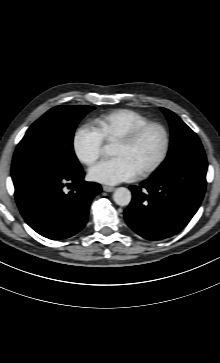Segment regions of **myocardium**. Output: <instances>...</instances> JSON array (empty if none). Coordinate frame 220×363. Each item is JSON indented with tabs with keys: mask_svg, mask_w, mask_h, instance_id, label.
Listing matches in <instances>:
<instances>
[{
	"mask_svg": "<svg viewBox=\"0 0 220 363\" xmlns=\"http://www.w3.org/2000/svg\"><path fill=\"white\" fill-rule=\"evenodd\" d=\"M150 129H158L161 132L163 137L162 147L157 159L151 165L147 166L146 168L138 172L137 175L139 177H146L154 173L165 162L169 153L170 142H171L170 134L167 127L160 122L150 121L132 130L131 132L121 136L119 139L116 140V144L130 146L139 141V139Z\"/></svg>",
	"mask_w": 220,
	"mask_h": 363,
	"instance_id": "1",
	"label": "myocardium"
}]
</instances>
